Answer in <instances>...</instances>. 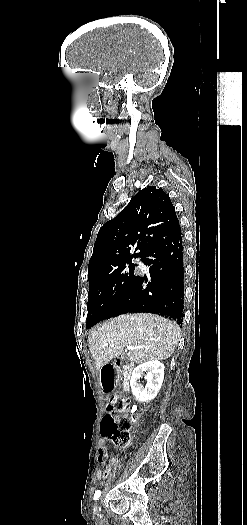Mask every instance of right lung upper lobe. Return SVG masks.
<instances>
[{"label": "right lung upper lobe", "instance_id": "right-lung-upper-lobe-1", "mask_svg": "<svg viewBox=\"0 0 247 525\" xmlns=\"http://www.w3.org/2000/svg\"><path fill=\"white\" fill-rule=\"evenodd\" d=\"M180 227L169 196L155 186L140 190L114 219L98 232L88 274L108 271L132 263L155 243ZM136 244L134 253L130 249Z\"/></svg>", "mask_w": 247, "mask_h": 525}]
</instances>
